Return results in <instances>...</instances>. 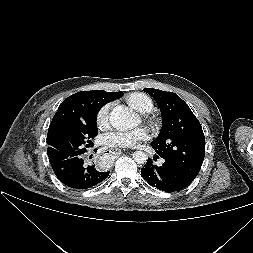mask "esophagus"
<instances>
[{
  "instance_id": "esophagus-1",
  "label": "esophagus",
  "mask_w": 253,
  "mask_h": 253,
  "mask_svg": "<svg viewBox=\"0 0 253 253\" xmlns=\"http://www.w3.org/2000/svg\"><path fill=\"white\" fill-rule=\"evenodd\" d=\"M105 152L106 154H114V155L122 154V150L118 148H110V149H107Z\"/></svg>"
}]
</instances>
